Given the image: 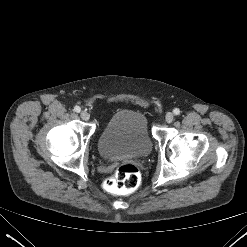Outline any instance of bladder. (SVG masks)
<instances>
[{"label":"bladder","mask_w":247,"mask_h":247,"mask_svg":"<svg viewBox=\"0 0 247 247\" xmlns=\"http://www.w3.org/2000/svg\"><path fill=\"white\" fill-rule=\"evenodd\" d=\"M97 146L106 160L148 156L152 140L146 116L131 109L117 111L103 128Z\"/></svg>","instance_id":"1"}]
</instances>
